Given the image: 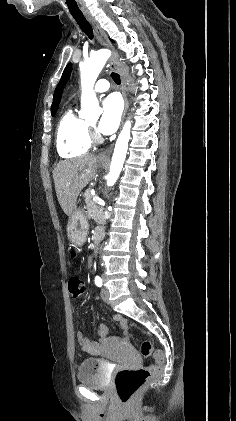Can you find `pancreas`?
I'll return each instance as SVG.
<instances>
[{"label": "pancreas", "mask_w": 236, "mask_h": 421, "mask_svg": "<svg viewBox=\"0 0 236 421\" xmlns=\"http://www.w3.org/2000/svg\"><path fill=\"white\" fill-rule=\"evenodd\" d=\"M85 202H86V215L89 219H93L98 225H106V219H104V208L100 206L98 202L93 200V196L90 190L85 192Z\"/></svg>", "instance_id": "pancreas-1"}]
</instances>
